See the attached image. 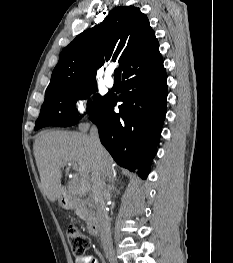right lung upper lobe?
I'll use <instances>...</instances> for the list:
<instances>
[{"mask_svg": "<svg viewBox=\"0 0 233 263\" xmlns=\"http://www.w3.org/2000/svg\"><path fill=\"white\" fill-rule=\"evenodd\" d=\"M118 60L123 77L163 62L149 20L139 8H114L99 25L78 35L60 54L45 97L95 84L97 67Z\"/></svg>", "mask_w": 233, "mask_h": 263, "instance_id": "obj_1", "label": "right lung upper lobe"}]
</instances>
